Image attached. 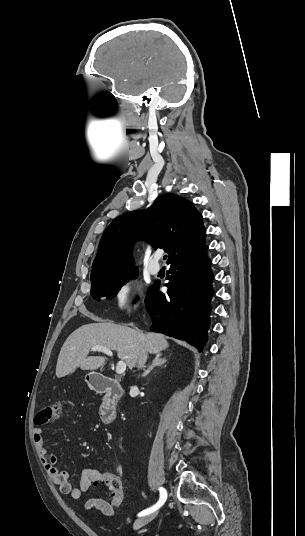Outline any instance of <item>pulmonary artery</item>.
Instances as JSON below:
<instances>
[{
  "label": "pulmonary artery",
  "instance_id": "e3ab8cb5",
  "mask_svg": "<svg viewBox=\"0 0 305 536\" xmlns=\"http://www.w3.org/2000/svg\"><path fill=\"white\" fill-rule=\"evenodd\" d=\"M159 255H160V254L158 253V254L156 255V258H158ZM160 269H161V266H160V264H159L157 261H155V262L149 264V266H148V270H149V272H150L151 274H154V275L158 274L159 271H160Z\"/></svg>",
  "mask_w": 305,
  "mask_h": 536
}]
</instances>
